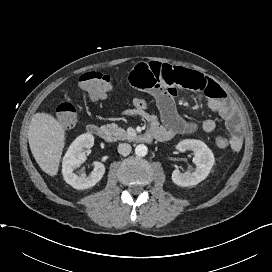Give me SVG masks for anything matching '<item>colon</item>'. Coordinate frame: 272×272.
Instances as JSON below:
<instances>
[{
    "mask_svg": "<svg viewBox=\"0 0 272 272\" xmlns=\"http://www.w3.org/2000/svg\"><path fill=\"white\" fill-rule=\"evenodd\" d=\"M79 81L81 89L92 100L104 98L112 88L111 77L99 71L86 72L80 77ZM133 106L145 110L148 107V102L143 98H136L133 100ZM56 118L65 128L74 126L77 120L74 105L67 100L61 101L56 108ZM216 145L222 149L227 148L229 147V140L220 136L216 139Z\"/></svg>",
    "mask_w": 272,
    "mask_h": 272,
    "instance_id": "colon-1",
    "label": "colon"
}]
</instances>
